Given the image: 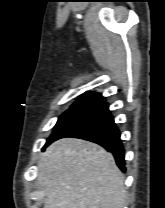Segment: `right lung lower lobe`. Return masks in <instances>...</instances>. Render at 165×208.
<instances>
[{"mask_svg": "<svg viewBox=\"0 0 165 208\" xmlns=\"http://www.w3.org/2000/svg\"><path fill=\"white\" fill-rule=\"evenodd\" d=\"M65 137L80 138L101 145L113 154L118 167L125 172L120 132L105 101L72 124L55 140Z\"/></svg>", "mask_w": 165, "mask_h": 208, "instance_id": "obj_1", "label": "right lung lower lobe"}]
</instances>
